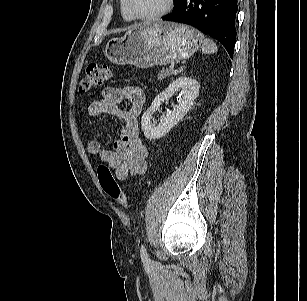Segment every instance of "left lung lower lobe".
I'll return each instance as SVG.
<instances>
[{"label":"left lung lower lobe","mask_w":307,"mask_h":301,"mask_svg":"<svg viewBox=\"0 0 307 301\" xmlns=\"http://www.w3.org/2000/svg\"><path fill=\"white\" fill-rule=\"evenodd\" d=\"M237 0H179L163 20L189 24L218 40L233 58Z\"/></svg>","instance_id":"1"}]
</instances>
